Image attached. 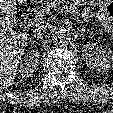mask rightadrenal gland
Masks as SVG:
<instances>
[{"label":"right adrenal gland","mask_w":113,"mask_h":113,"mask_svg":"<svg viewBox=\"0 0 113 113\" xmlns=\"http://www.w3.org/2000/svg\"><path fill=\"white\" fill-rule=\"evenodd\" d=\"M41 39V36H35L34 38H32V41L34 42L35 40H39Z\"/></svg>","instance_id":"1"}]
</instances>
